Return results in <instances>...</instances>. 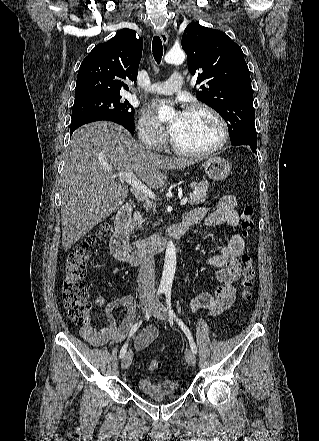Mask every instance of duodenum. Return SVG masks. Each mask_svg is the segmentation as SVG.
I'll return each instance as SVG.
<instances>
[{
    "instance_id": "1",
    "label": "duodenum",
    "mask_w": 319,
    "mask_h": 441,
    "mask_svg": "<svg viewBox=\"0 0 319 441\" xmlns=\"http://www.w3.org/2000/svg\"><path fill=\"white\" fill-rule=\"evenodd\" d=\"M133 202L125 203L117 212L114 219V232L110 240L112 255L120 261L137 265L149 255L160 251L169 240L178 239L187 231V225L182 221L170 227L160 235L129 244L130 216Z\"/></svg>"
}]
</instances>
